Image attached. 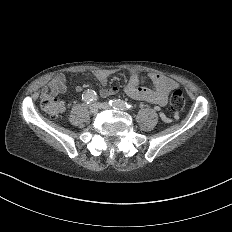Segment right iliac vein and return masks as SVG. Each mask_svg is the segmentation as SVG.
<instances>
[{"label": "right iliac vein", "instance_id": "obj_1", "mask_svg": "<svg viewBox=\"0 0 232 232\" xmlns=\"http://www.w3.org/2000/svg\"><path fill=\"white\" fill-rule=\"evenodd\" d=\"M89 110H90L91 113L96 114V113L99 112L100 107H99L98 104L93 103V104H91V105L89 106Z\"/></svg>", "mask_w": 232, "mask_h": 232}]
</instances>
